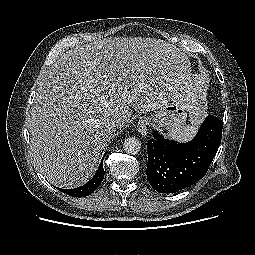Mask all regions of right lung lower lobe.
Returning <instances> with one entry per match:
<instances>
[{
  "label": "right lung lower lobe",
  "instance_id": "right-lung-lower-lobe-1",
  "mask_svg": "<svg viewBox=\"0 0 255 255\" xmlns=\"http://www.w3.org/2000/svg\"><path fill=\"white\" fill-rule=\"evenodd\" d=\"M104 175H105V172H104L103 165L101 162L96 174L85 185L75 188V189H60V188H58V189L64 193L74 196V197L88 196L98 188V186L101 184L102 180L104 179Z\"/></svg>",
  "mask_w": 255,
  "mask_h": 255
}]
</instances>
